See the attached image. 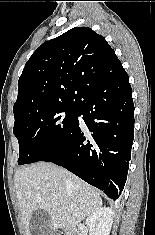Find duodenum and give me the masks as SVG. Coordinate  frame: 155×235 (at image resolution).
I'll return each mask as SVG.
<instances>
[{"label": "duodenum", "mask_w": 155, "mask_h": 235, "mask_svg": "<svg viewBox=\"0 0 155 235\" xmlns=\"http://www.w3.org/2000/svg\"><path fill=\"white\" fill-rule=\"evenodd\" d=\"M66 235H81L76 227H69L66 229Z\"/></svg>", "instance_id": "1"}]
</instances>
